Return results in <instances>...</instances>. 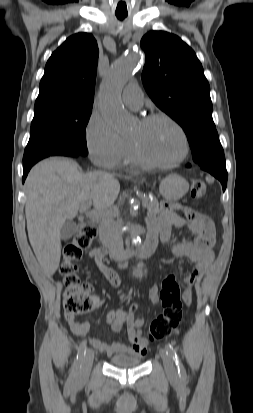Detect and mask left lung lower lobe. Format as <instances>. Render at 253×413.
<instances>
[{
  "mask_svg": "<svg viewBox=\"0 0 253 413\" xmlns=\"http://www.w3.org/2000/svg\"><path fill=\"white\" fill-rule=\"evenodd\" d=\"M187 167H191V165L187 164ZM201 169L216 177L221 182L223 191H225L227 185V171L225 164H208L202 166Z\"/></svg>",
  "mask_w": 253,
  "mask_h": 413,
  "instance_id": "0a47b994",
  "label": "left lung lower lobe"
}]
</instances>
